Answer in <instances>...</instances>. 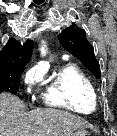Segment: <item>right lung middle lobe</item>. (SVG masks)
<instances>
[{
    "mask_svg": "<svg viewBox=\"0 0 117 136\" xmlns=\"http://www.w3.org/2000/svg\"><path fill=\"white\" fill-rule=\"evenodd\" d=\"M23 66H9L0 68V93L16 94L19 89L20 76Z\"/></svg>",
    "mask_w": 117,
    "mask_h": 136,
    "instance_id": "obj_1",
    "label": "right lung middle lobe"
}]
</instances>
